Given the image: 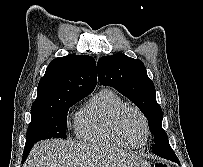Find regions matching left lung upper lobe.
I'll list each match as a JSON object with an SVG mask.
<instances>
[{
    "mask_svg": "<svg viewBox=\"0 0 203 167\" xmlns=\"http://www.w3.org/2000/svg\"><path fill=\"white\" fill-rule=\"evenodd\" d=\"M97 69L102 85L115 88L135 103L148 119L154 145L167 142V134L162 128V109L156 101L155 87L143 62L124 54H114L101 57Z\"/></svg>",
    "mask_w": 203,
    "mask_h": 167,
    "instance_id": "1",
    "label": "left lung upper lobe"
}]
</instances>
